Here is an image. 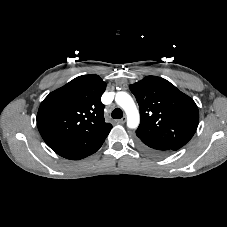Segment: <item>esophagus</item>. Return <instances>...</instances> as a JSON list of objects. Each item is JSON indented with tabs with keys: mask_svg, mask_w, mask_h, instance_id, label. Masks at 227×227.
I'll return each instance as SVG.
<instances>
[{
	"mask_svg": "<svg viewBox=\"0 0 227 227\" xmlns=\"http://www.w3.org/2000/svg\"><path fill=\"white\" fill-rule=\"evenodd\" d=\"M117 122L119 124H124L126 122V117L124 116L123 118L119 119Z\"/></svg>",
	"mask_w": 227,
	"mask_h": 227,
	"instance_id": "1",
	"label": "esophagus"
}]
</instances>
